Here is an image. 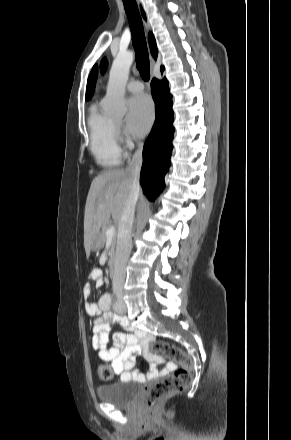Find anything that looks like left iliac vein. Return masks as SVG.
<instances>
[{"label": "left iliac vein", "instance_id": "4c4485c4", "mask_svg": "<svg viewBox=\"0 0 291 440\" xmlns=\"http://www.w3.org/2000/svg\"><path fill=\"white\" fill-rule=\"evenodd\" d=\"M115 311H116V313H118L119 315H124V314H126L127 309H126V306H125V305H120V306H117V307L115 308Z\"/></svg>", "mask_w": 291, "mask_h": 440}]
</instances>
